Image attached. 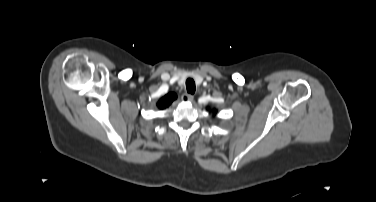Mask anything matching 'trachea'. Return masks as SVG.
Returning a JSON list of instances; mask_svg holds the SVG:
<instances>
[{
    "mask_svg": "<svg viewBox=\"0 0 376 202\" xmlns=\"http://www.w3.org/2000/svg\"><path fill=\"white\" fill-rule=\"evenodd\" d=\"M186 89H187V92L190 93V94H194L195 93L196 86H195V82H194L193 79L188 78L186 80Z\"/></svg>",
    "mask_w": 376,
    "mask_h": 202,
    "instance_id": "3493384b",
    "label": "trachea"
}]
</instances>
